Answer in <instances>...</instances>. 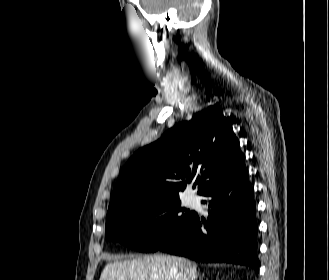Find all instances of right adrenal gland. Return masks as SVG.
Returning <instances> with one entry per match:
<instances>
[{"label":"right adrenal gland","mask_w":329,"mask_h":280,"mask_svg":"<svg viewBox=\"0 0 329 280\" xmlns=\"http://www.w3.org/2000/svg\"><path fill=\"white\" fill-rule=\"evenodd\" d=\"M195 280H197V278H196ZM199 280H203V277L200 276V277H199Z\"/></svg>","instance_id":"obj_1"}]
</instances>
